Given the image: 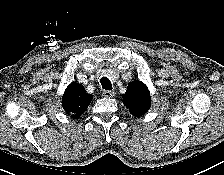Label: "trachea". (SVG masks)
Here are the masks:
<instances>
[{"label": "trachea", "instance_id": "1", "mask_svg": "<svg viewBox=\"0 0 224 175\" xmlns=\"http://www.w3.org/2000/svg\"><path fill=\"white\" fill-rule=\"evenodd\" d=\"M100 82H101V85H102V88L105 89V90H112V84L110 82V80L106 77H102L100 79Z\"/></svg>", "mask_w": 224, "mask_h": 175}]
</instances>
